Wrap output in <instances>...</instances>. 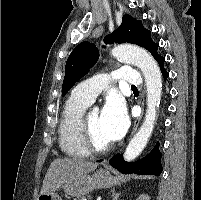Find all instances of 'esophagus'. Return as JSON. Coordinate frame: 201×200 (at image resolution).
I'll return each instance as SVG.
<instances>
[{"instance_id":"obj_1","label":"esophagus","mask_w":201,"mask_h":200,"mask_svg":"<svg viewBox=\"0 0 201 200\" xmlns=\"http://www.w3.org/2000/svg\"><path fill=\"white\" fill-rule=\"evenodd\" d=\"M140 104L143 106V104H144V93L142 92L141 93V95H140ZM143 112H144V110H142V114L139 116V117H137L136 119H135V121H134V123H133V128H132V132H131V136L135 133V131L137 130V127H138V125H139V122H140V120H141V118H142V116H143Z\"/></svg>"}]
</instances>
